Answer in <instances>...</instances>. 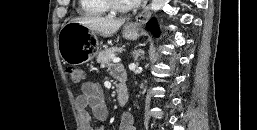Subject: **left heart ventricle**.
<instances>
[{"instance_id":"obj_1","label":"left heart ventricle","mask_w":257,"mask_h":130,"mask_svg":"<svg viewBox=\"0 0 257 130\" xmlns=\"http://www.w3.org/2000/svg\"><path fill=\"white\" fill-rule=\"evenodd\" d=\"M118 1L123 5H130L135 2V0H118Z\"/></svg>"}]
</instances>
